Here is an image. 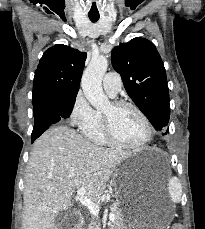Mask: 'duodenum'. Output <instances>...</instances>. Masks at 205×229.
<instances>
[{
	"mask_svg": "<svg viewBox=\"0 0 205 229\" xmlns=\"http://www.w3.org/2000/svg\"><path fill=\"white\" fill-rule=\"evenodd\" d=\"M80 221H81V216L78 215V217H77V224H78ZM71 229H75V228H71Z\"/></svg>",
	"mask_w": 205,
	"mask_h": 229,
	"instance_id": "1",
	"label": "duodenum"
}]
</instances>
